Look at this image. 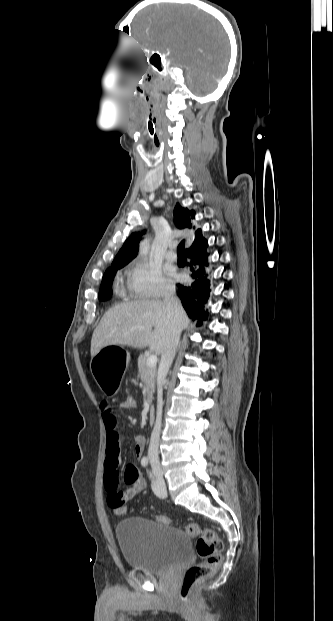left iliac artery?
Listing matches in <instances>:
<instances>
[{
	"instance_id": "obj_1",
	"label": "left iliac artery",
	"mask_w": 333,
	"mask_h": 621,
	"mask_svg": "<svg viewBox=\"0 0 333 621\" xmlns=\"http://www.w3.org/2000/svg\"><path fill=\"white\" fill-rule=\"evenodd\" d=\"M149 477L152 478V474L149 473ZM157 487L156 483L154 481H152V489L155 490Z\"/></svg>"
}]
</instances>
